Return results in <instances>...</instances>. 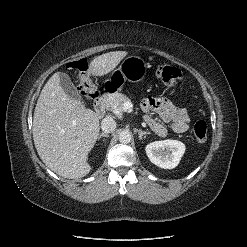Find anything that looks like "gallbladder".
<instances>
[{
	"mask_svg": "<svg viewBox=\"0 0 247 247\" xmlns=\"http://www.w3.org/2000/svg\"><path fill=\"white\" fill-rule=\"evenodd\" d=\"M58 75H59V79H60L59 85L65 91V93L69 97L76 99L78 101H81V98L78 95V93L76 92V90L73 86V83L71 82L69 76L66 73H58ZM82 103H84V102L82 101Z\"/></svg>",
	"mask_w": 247,
	"mask_h": 247,
	"instance_id": "bac80fb5",
	"label": "gallbladder"
}]
</instances>
